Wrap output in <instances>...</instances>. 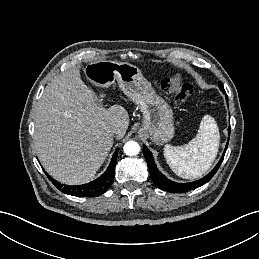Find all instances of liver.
<instances>
[{
  "label": "liver",
  "instance_id": "liver-1",
  "mask_svg": "<svg viewBox=\"0 0 259 259\" xmlns=\"http://www.w3.org/2000/svg\"><path fill=\"white\" fill-rule=\"evenodd\" d=\"M35 148L46 171L69 185L89 182L105 162L118 127L122 139L129 126L121 105L103 108L82 81L78 68L52 80L35 108Z\"/></svg>",
  "mask_w": 259,
  "mask_h": 259
}]
</instances>
